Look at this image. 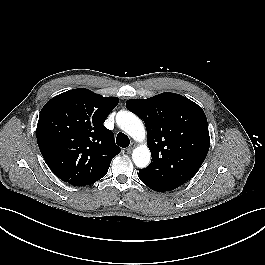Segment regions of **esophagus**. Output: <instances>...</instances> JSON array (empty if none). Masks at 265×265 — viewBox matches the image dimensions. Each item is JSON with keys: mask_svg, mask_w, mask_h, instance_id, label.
<instances>
[{"mask_svg": "<svg viewBox=\"0 0 265 265\" xmlns=\"http://www.w3.org/2000/svg\"><path fill=\"white\" fill-rule=\"evenodd\" d=\"M135 145H136V144H135L134 142H132V143L130 144V146L126 149V152H127V153H131L132 150L134 149Z\"/></svg>", "mask_w": 265, "mask_h": 265, "instance_id": "esophagus-1", "label": "esophagus"}]
</instances>
